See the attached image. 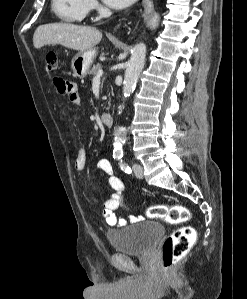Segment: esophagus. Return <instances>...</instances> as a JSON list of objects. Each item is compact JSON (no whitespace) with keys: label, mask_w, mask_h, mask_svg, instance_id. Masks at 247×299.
Wrapping results in <instances>:
<instances>
[{"label":"esophagus","mask_w":247,"mask_h":299,"mask_svg":"<svg viewBox=\"0 0 247 299\" xmlns=\"http://www.w3.org/2000/svg\"><path fill=\"white\" fill-rule=\"evenodd\" d=\"M143 4L146 9H153V2L152 0H143Z\"/></svg>","instance_id":"obj_1"}]
</instances>
